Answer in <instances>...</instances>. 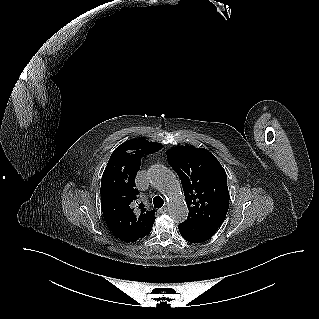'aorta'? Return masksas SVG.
<instances>
[{"mask_svg": "<svg viewBox=\"0 0 319 319\" xmlns=\"http://www.w3.org/2000/svg\"><path fill=\"white\" fill-rule=\"evenodd\" d=\"M148 177L150 182L165 194L170 217L176 222L186 220L188 209L183 201L180 185L172 171L157 164L149 169Z\"/></svg>", "mask_w": 319, "mask_h": 319, "instance_id": "obj_1", "label": "aorta"}]
</instances>
